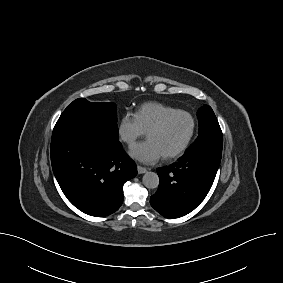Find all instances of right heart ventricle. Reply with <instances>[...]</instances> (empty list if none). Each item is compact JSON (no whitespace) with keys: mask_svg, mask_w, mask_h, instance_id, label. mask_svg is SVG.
<instances>
[{"mask_svg":"<svg viewBox=\"0 0 283 283\" xmlns=\"http://www.w3.org/2000/svg\"><path fill=\"white\" fill-rule=\"evenodd\" d=\"M177 111V109L157 103H145L136 112V117L145 132H148L156 125L165 115Z\"/></svg>","mask_w":283,"mask_h":283,"instance_id":"1","label":"right heart ventricle"}]
</instances>
